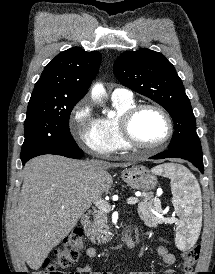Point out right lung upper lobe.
Returning a JSON list of instances; mask_svg holds the SVG:
<instances>
[{
	"label": "right lung upper lobe",
	"instance_id": "right-lung-upper-lobe-1",
	"mask_svg": "<svg viewBox=\"0 0 215 274\" xmlns=\"http://www.w3.org/2000/svg\"><path fill=\"white\" fill-rule=\"evenodd\" d=\"M101 54L73 47L58 54L44 69L29 102H79L98 72Z\"/></svg>",
	"mask_w": 215,
	"mask_h": 274
}]
</instances>
